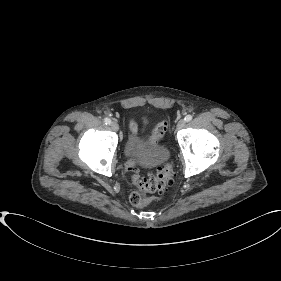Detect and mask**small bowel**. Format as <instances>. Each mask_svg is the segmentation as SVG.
Wrapping results in <instances>:
<instances>
[{
	"mask_svg": "<svg viewBox=\"0 0 281 281\" xmlns=\"http://www.w3.org/2000/svg\"><path fill=\"white\" fill-rule=\"evenodd\" d=\"M130 128H131V131L133 133H138L139 132L138 127L136 126V124L134 122H131Z\"/></svg>",
	"mask_w": 281,
	"mask_h": 281,
	"instance_id": "obj_1",
	"label": "small bowel"
}]
</instances>
